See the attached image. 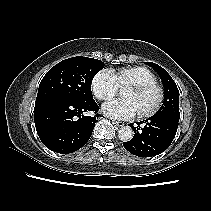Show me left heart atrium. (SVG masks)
<instances>
[{"instance_id": "39dd6f15", "label": "left heart atrium", "mask_w": 211, "mask_h": 211, "mask_svg": "<svg viewBox=\"0 0 211 211\" xmlns=\"http://www.w3.org/2000/svg\"><path fill=\"white\" fill-rule=\"evenodd\" d=\"M104 114L115 119H129L138 114L135 103L130 99H117L102 106Z\"/></svg>"}]
</instances>
